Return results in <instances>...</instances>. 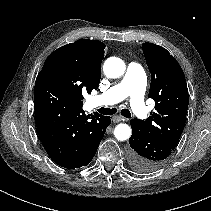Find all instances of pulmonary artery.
Returning a JSON list of instances; mask_svg holds the SVG:
<instances>
[{"label": "pulmonary artery", "instance_id": "1", "mask_svg": "<svg viewBox=\"0 0 211 211\" xmlns=\"http://www.w3.org/2000/svg\"><path fill=\"white\" fill-rule=\"evenodd\" d=\"M145 88L146 76L142 66L131 62L122 80L103 94L92 97L90 103L92 107L108 106L129 98L133 112L143 119L147 115L144 104Z\"/></svg>", "mask_w": 211, "mask_h": 211}]
</instances>
